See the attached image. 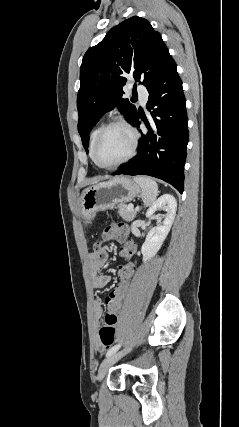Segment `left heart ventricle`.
I'll return each mask as SVG.
<instances>
[{
  "instance_id": "1",
  "label": "left heart ventricle",
  "mask_w": 239,
  "mask_h": 427,
  "mask_svg": "<svg viewBox=\"0 0 239 427\" xmlns=\"http://www.w3.org/2000/svg\"><path fill=\"white\" fill-rule=\"evenodd\" d=\"M131 146V134L123 127H113L103 135L98 145L97 157L101 163L112 165L122 160Z\"/></svg>"
}]
</instances>
